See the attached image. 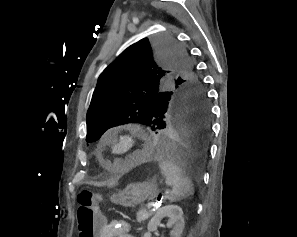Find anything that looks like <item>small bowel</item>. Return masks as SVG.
Returning a JSON list of instances; mask_svg holds the SVG:
<instances>
[{
  "label": "small bowel",
  "instance_id": "obj_1",
  "mask_svg": "<svg viewBox=\"0 0 297 237\" xmlns=\"http://www.w3.org/2000/svg\"><path fill=\"white\" fill-rule=\"evenodd\" d=\"M97 237H135L130 234L129 224L122 219L103 222Z\"/></svg>",
  "mask_w": 297,
  "mask_h": 237
}]
</instances>
